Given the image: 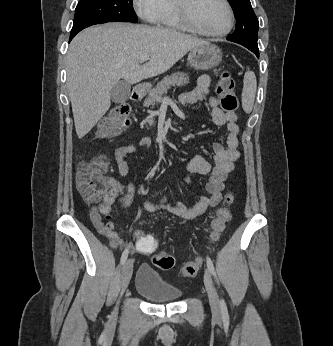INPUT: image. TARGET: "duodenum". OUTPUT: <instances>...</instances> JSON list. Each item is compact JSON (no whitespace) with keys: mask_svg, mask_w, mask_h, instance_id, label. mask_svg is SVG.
Listing matches in <instances>:
<instances>
[{"mask_svg":"<svg viewBox=\"0 0 333 346\" xmlns=\"http://www.w3.org/2000/svg\"><path fill=\"white\" fill-rule=\"evenodd\" d=\"M144 95V88L139 86L135 89L134 94H133V98L135 100H140Z\"/></svg>","mask_w":333,"mask_h":346,"instance_id":"410a0bca","label":"duodenum"}]
</instances>
